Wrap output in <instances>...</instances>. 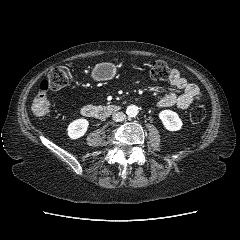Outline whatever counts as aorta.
<instances>
[{
	"label": "aorta",
	"mask_w": 240,
	"mask_h": 240,
	"mask_svg": "<svg viewBox=\"0 0 240 240\" xmlns=\"http://www.w3.org/2000/svg\"><path fill=\"white\" fill-rule=\"evenodd\" d=\"M139 113V108L136 105H129L126 109V114L129 117H135Z\"/></svg>",
	"instance_id": "762f6f07"
}]
</instances>
